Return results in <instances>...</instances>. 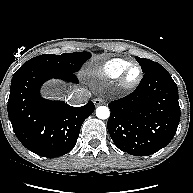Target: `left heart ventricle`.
I'll return each instance as SVG.
<instances>
[{
  "label": "left heart ventricle",
  "instance_id": "1",
  "mask_svg": "<svg viewBox=\"0 0 193 193\" xmlns=\"http://www.w3.org/2000/svg\"><path fill=\"white\" fill-rule=\"evenodd\" d=\"M138 74H139V70L137 68H133L128 75V79L134 80L137 78Z\"/></svg>",
  "mask_w": 193,
  "mask_h": 193
}]
</instances>
